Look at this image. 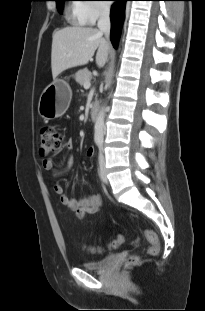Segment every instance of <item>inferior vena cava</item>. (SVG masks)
I'll use <instances>...</instances> for the list:
<instances>
[{
    "label": "inferior vena cava",
    "instance_id": "602c4592",
    "mask_svg": "<svg viewBox=\"0 0 205 311\" xmlns=\"http://www.w3.org/2000/svg\"><path fill=\"white\" fill-rule=\"evenodd\" d=\"M99 31L105 34L107 40L110 36V9L109 8H101L99 20L97 24Z\"/></svg>",
    "mask_w": 205,
    "mask_h": 311
}]
</instances>
